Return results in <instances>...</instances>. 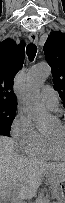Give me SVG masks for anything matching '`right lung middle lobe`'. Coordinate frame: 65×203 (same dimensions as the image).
Masks as SVG:
<instances>
[{
    "label": "right lung middle lobe",
    "instance_id": "obj_1",
    "mask_svg": "<svg viewBox=\"0 0 65 203\" xmlns=\"http://www.w3.org/2000/svg\"><path fill=\"white\" fill-rule=\"evenodd\" d=\"M17 105L0 103V135L9 136Z\"/></svg>",
    "mask_w": 65,
    "mask_h": 203
}]
</instances>
